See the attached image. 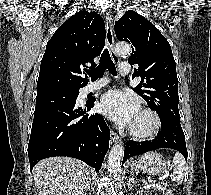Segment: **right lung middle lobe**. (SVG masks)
Listing matches in <instances>:
<instances>
[{"mask_svg": "<svg viewBox=\"0 0 211 195\" xmlns=\"http://www.w3.org/2000/svg\"><path fill=\"white\" fill-rule=\"evenodd\" d=\"M55 91H56V90H52V91H47V92L39 93V94H37V98L43 97V96H46V95H49V94H51V93H53V92H55Z\"/></svg>", "mask_w": 211, "mask_h": 195, "instance_id": "1", "label": "right lung middle lobe"}]
</instances>
